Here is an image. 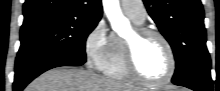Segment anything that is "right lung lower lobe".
Instances as JSON below:
<instances>
[{"label":"right lung lower lobe","mask_w":220,"mask_h":91,"mask_svg":"<svg viewBox=\"0 0 220 91\" xmlns=\"http://www.w3.org/2000/svg\"><path fill=\"white\" fill-rule=\"evenodd\" d=\"M86 61L56 50L20 54L16 58L13 91H22L41 73L59 66H80Z\"/></svg>","instance_id":"98d812e1"}]
</instances>
